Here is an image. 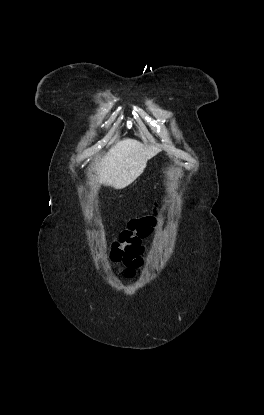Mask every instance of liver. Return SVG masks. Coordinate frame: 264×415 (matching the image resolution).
Wrapping results in <instances>:
<instances>
[{
	"mask_svg": "<svg viewBox=\"0 0 264 415\" xmlns=\"http://www.w3.org/2000/svg\"><path fill=\"white\" fill-rule=\"evenodd\" d=\"M159 151L134 139L116 143L94 166L99 182L115 189L127 187L143 173L147 161Z\"/></svg>",
	"mask_w": 264,
	"mask_h": 415,
	"instance_id": "6515ba94",
	"label": "liver"
}]
</instances>
